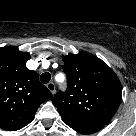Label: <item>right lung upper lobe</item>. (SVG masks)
<instances>
[{
	"mask_svg": "<svg viewBox=\"0 0 136 136\" xmlns=\"http://www.w3.org/2000/svg\"><path fill=\"white\" fill-rule=\"evenodd\" d=\"M28 53L14 46L0 48V128L19 130L28 125L51 92L39 82L38 74L26 67Z\"/></svg>",
	"mask_w": 136,
	"mask_h": 136,
	"instance_id": "1",
	"label": "right lung upper lobe"
}]
</instances>
